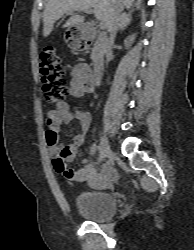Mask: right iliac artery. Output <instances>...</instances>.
Listing matches in <instances>:
<instances>
[{
  "mask_svg": "<svg viewBox=\"0 0 194 250\" xmlns=\"http://www.w3.org/2000/svg\"><path fill=\"white\" fill-rule=\"evenodd\" d=\"M96 150H99V152H100V146L93 144V151L95 152ZM100 157H101V154H100Z\"/></svg>",
  "mask_w": 194,
  "mask_h": 250,
  "instance_id": "obj_1",
  "label": "right iliac artery"
}]
</instances>
